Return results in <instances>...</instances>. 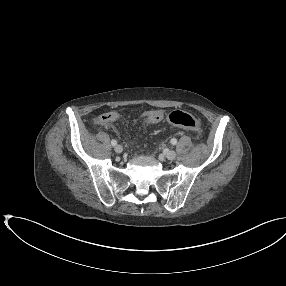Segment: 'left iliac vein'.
Listing matches in <instances>:
<instances>
[{
  "label": "left iliac vein",
  "mask_w": 286,
  "mask_h": 286,
  "mask_svg": "<svg viewBox=\"0 0 286 286\" xmlns=\"http://www.w3.org/2000/svg\"><path fill=\"white\" fill-rule=\"evenodd\" d=\"M166 158L168 160H174L176 158V152L174 150H170L166 153Z\"/></svg>",
  "instance_id": "left-iliac-vein-1"
}]
</instances>
